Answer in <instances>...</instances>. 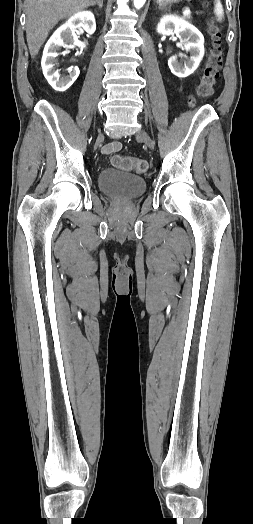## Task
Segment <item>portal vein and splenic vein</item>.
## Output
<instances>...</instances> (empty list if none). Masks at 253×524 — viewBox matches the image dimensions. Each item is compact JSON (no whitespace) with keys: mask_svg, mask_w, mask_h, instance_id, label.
<instances>
[{"mask_svg":"<svg viewBox=\"0 0 253 524\" xmlns=\"http://www.w3.org/2000/svg\"><path fill=\"white\" fill-rule=\"evenodd\" d=\"M190 13H191L190 9L188 7H185V9L183 10V15L188 16L190 15Z\"/></svg>","mask_w":253,"mask_h":524,"instance_id":"18ae733b","label":"portal vein and splenic vein"}]
</instances>
